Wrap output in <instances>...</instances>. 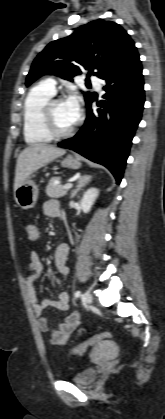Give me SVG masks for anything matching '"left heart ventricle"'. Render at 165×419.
Segmentation results:
<instances>
[{
    "instance_id": "1",
    "label": "left heart ventricle",
    "mask_w": 165,
    "mask_h": 419,
    "mask_svg": "<svg viewBox=\"0 0 165 419\" xmlns=\"http://www.w3.org/2000/svg\"><path fill=\"white\" fill-rule=\"evenodd\" d=\"M54 118L57 128L61 131L68 130L76 123L71 119L64 101L55 103Z\"/></svg>"
}]
</instances>
